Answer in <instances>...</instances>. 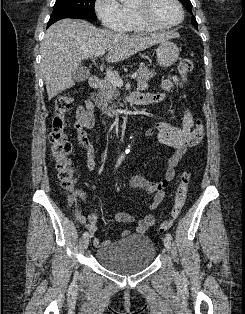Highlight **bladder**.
<instances>
[{"mask_svg":"<svg viewBox=\"0 0 245 314\" xmlns=\"http://www.w3.org/2000/svg\"><path fill=\"white\" fill-rule=\"evenodd\" d=\"M156 248L144 235H131L109 242L96 251L97 261L119 274H132L144 270L154 260Z\"/></svg>","mask_w":245,"mask_h":314,"instance_id":"obj_1","label":"bladder"}]
</instances>
